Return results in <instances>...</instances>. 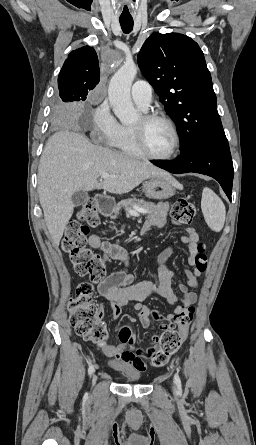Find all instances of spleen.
Here are the masks:
<instances>
[{"label": "spleen", "mask_w": 256, "mask_h": 445, "mask_svg": "<svg viewBox=\"0 0 256 445\" xmlns=\"http://www.w3.org/2000/svg\"><path fill=\"white\" fill-rule=\"evenodd\" d=\"M201 209L208 227L215 232H220L225 223V205L208 187H205L202 192Z\"/></svg>", "instance_id": "3e777b00"}]
</instances>
